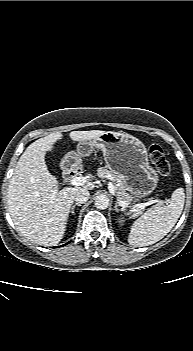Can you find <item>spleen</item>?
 Wrapping results in <instances>:
<instances>
[{"label":"spleen","instance_id":"spleen-1","mask_svg":"<svg viewBox=\"0 0 193 351\" xmlns=\"http://www.w3.org/2000/svg\"><path fill=\"white\" fill-rule=\"evenodd\" d=\"M185 202L183 188L176 189L165 204H157L131 226L129 244L137 247L152 245L166 236L178 221Z\"/></svg>","mask_w":193,"mask_h":351}]
</instances>
